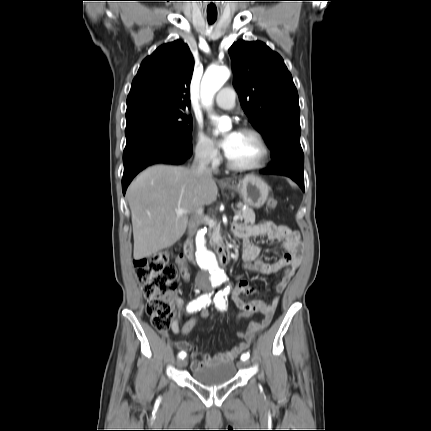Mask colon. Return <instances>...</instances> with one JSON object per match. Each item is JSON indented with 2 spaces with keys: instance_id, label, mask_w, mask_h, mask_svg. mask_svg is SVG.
I'll use <instances>...</instances> for the list:
<instances>
[{
  "instance_id": "obj_1",
  "label": "colon",
  "mask_w": 431,
  "mask_h": 431,
  "mask_svg": "<svg viewBox=\"0 0 431 431\" xmlns=\"http://www.w3.org/2000/svg\"><path fill=\"white\" fill-rule=\"evenodd\" d=\"M266 206L272 210L276 206V201L269 199ZM134 265L136 276L147 299L146 312L151 324L154 328L165 331L169 327L174 313L172 297L180 287L177 268L170 262V256L166 252L137 259ZM252 314V310H241L240 313H235V325H238L242 319H252ZM208 322V308L199 311V315L191 313L180 331V336L187 338L199 324L206 325ZM236 334L238 337H243L245 333L243 330H238Z\"/></svg>"
}]
</instances>
